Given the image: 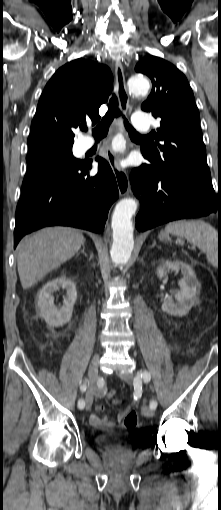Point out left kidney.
I'll return each mask as SVG.
<instances>
[{
  "instance_id": "left-kidney-1",
  "label": "left kidney",
  "mask_w": 221,
  "mask_h": 510,
  "mask_svg": "<svg viewBox=\"0 0 221 510\" xmlns=\"http://www.w3.org/2000/svg\"><path fill=\"white\" fill-rule=\"evenodd\" d=\"M181 270L183 278L179 281L180 290L176 291L173 301L172 296H168L162 303L163 312L173 316L186 315L196 300L197 294L200 292V284L196 278L193 269L182 261H162L157 267V276L159 279L164 278L167 273Z\"/></svg>"
}]
</instances>
